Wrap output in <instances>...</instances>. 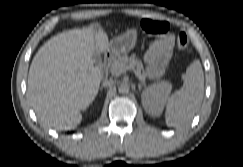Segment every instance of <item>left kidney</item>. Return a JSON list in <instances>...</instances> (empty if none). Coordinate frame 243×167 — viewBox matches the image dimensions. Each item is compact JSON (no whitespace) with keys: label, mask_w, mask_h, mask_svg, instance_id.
<instances>
[{"label":"left kidney","mask_w":243,"mask_h":167,"mask_svg":"<svg viewBox=\"0 0 243 167\" xmlns=\"http://www.w3.org/2000/svg\"><path fill=\"white\" fill-rule=\"evenodd\" d=\"M171 91L169 83H157L146 88L142 95V104L147 113L159 116Z\"/></svg>","instance_id":"5707ae66"}]
</instances>
